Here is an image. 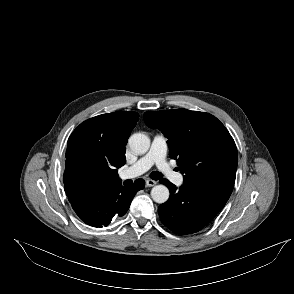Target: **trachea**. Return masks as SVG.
Listing matches in <instances>:
<instances>
[{
  "mask_svg": "<svg viewBox=\"0 0 294 294\" xmlns=\"http://www.w3.org/2000/svg\"><path fill=\"white\" fill-rule=\"evenodd\" d=\"M150 177L153 179V180H159L162 178V174L158 171H153L151 174H150ZM126 183V182H125ZM126 185H130V184H127Z\"/></svg>",
  "mask_w": 294,
  "mask_h": 294,
  "instance_id": "obj_1",
  "label": "trachea"
}]
</instances>
